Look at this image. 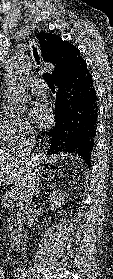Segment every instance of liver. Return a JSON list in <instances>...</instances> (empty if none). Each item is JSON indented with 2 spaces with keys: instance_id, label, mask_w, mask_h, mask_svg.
Listing matches in <instances>:
<instances>
[{
  "instance_id": "1",
  "label": "liver",
  "mask_w": 113,
  "mask_h": 279,
  "mask_svg": "<svg viewBox=\"0 0 113 279\" xmlns=\"http://www.w3.org/2000/svg\"><path fill=\"white\" fill-rule=\"evenodd\" d=\"M57 157L66 159L67 157L61 154L60 156H51L48 159L40 154L23 155L16 148L0 149V185L14 183L21 187L26 186L29 171H34V166L37 162L52 163Z\"/></svg>"
}]
</instances>
